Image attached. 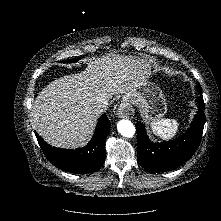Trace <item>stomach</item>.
<instances>
[{"mask_svg":"<svg viewBox=\"0 0 221 221\" xmlns=\"http://www.w3.org/2000/svg\"><path fill=\"white\" fill-rule=\"evenodd\" d=\"M123 100L132 105H139L143 117L147 120H158L167 111L162 91L152 83H140L132 92L125 94Z\"/></svg>","mask_w":221,"mask_h":221,"instance_id":"0dacf381","label":"stomach"}]
</instances>
